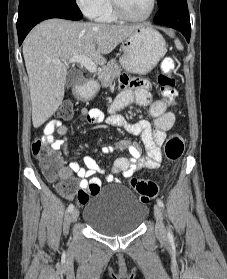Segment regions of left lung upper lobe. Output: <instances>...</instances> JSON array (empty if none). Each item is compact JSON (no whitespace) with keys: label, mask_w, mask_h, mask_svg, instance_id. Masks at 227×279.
<instances>
[{"label":"left lung upper lobe","mask_w":227,"mask_h":279,"mask_svg":"<svg viewBox=\"0 0 227 279\" xmlns=\"http://www.w3.org/2000/svg\"><path fill=\"white\" fill-rule=\"evenodd\" d=\"M170 0H157L159 8L164 6Z\"/></svg>","instance_id":"left-lung-upper-lobe-1"}]
</instances>
